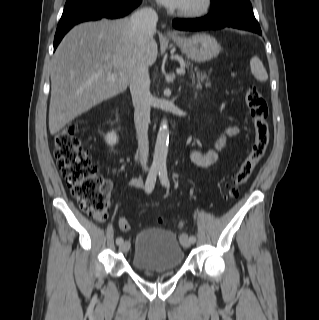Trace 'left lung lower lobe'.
Returning a JSON list of instances; mask_svg holds the SVG:
<instances>
[{
  "label": "left lung lower lobe",
  "mask_w": 319,
  "mask_h": 320,
  "mask_svg": "<svg viewBox=\"0 0 319 320\" xmlns=\"http://www.w3.org/2000/svg\"><path fill=\"white\" fill-rule=\"evenodd\" d=\"M173 26L179 30H207L232 27L262 35L249 0H224L212 4L211 12L198 19H176Z\"/></svg>",
  "instance_id": "obj_1"
}]
</instances>
